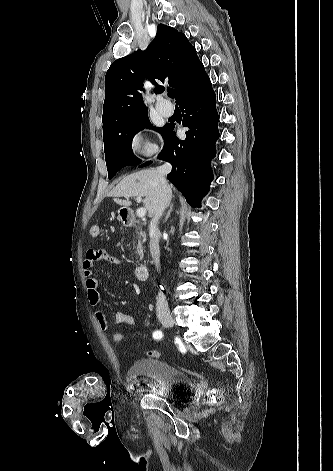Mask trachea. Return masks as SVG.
<instances>
[{
  "instance_id": "trachea-1",
  "label": "trachea",
  "mask_w": 333,
  "mask_h": 471,
  "mask_svg": "<svg viewBox=\"0 0 333 471\" xmlns=\"http://www.w3.org/2000/svg\"><path fill=\"white\" fill-rule=\"evenodd\" d=\"M168 95H169L170 98H174L175 97V91L173 89L169 90Z\"/></svg>"
}]
</instances>
